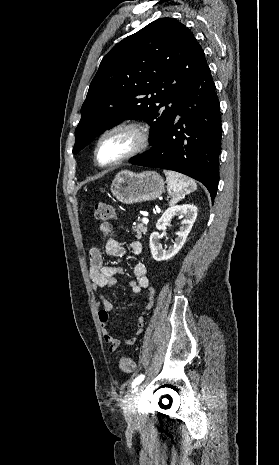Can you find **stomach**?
<instances>
[{"label":"stomach","instance_id":"1","mask_svg":"<svg viewBox=\"0 0 279 465\" xmlns=\"http://www.w3.org/2000/svg\"><path fill=\"white\" fill-rule=\"evenodd\" d=\"M164 191V180L154 171L134 173L120 171L112 181L111 192L124 204H134L158 198Z\"/></svg>","mask_w":279,"mask_h":465}]
</instances>
